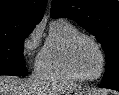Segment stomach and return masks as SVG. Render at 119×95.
<instances>
[{
  "label": "stomach",
  "instance_id": "stomach-1",
  "mask_svg": "<svg viewBox=\"0 0 119 95\" xmlns=\"http://www.w3.org/2000/svg\"><path fill=\"white\" fill-rule=\"evenodd\" d=\"M67 95H90V93L81 88H76L72 90L70 93H68Z\"/></svg>",
  "mask_w": 119,
  "mask_h": 95
}]
</instances>
